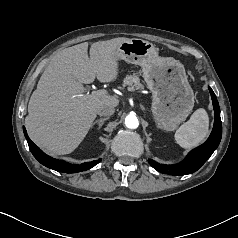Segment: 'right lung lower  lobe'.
I'll list each match as a JSON object with an SVG mask.
<instances>
[{"mask_svg": "<svg viewBox=\"0 0 238 238\" xmlns=\"http://www.w3.org/2000/svg\"><path fill=\"white\" fill-rule=\"evenodd\" d=\"M24 135L27 139L29 148L34 155V157L44 166L56 170L58 172H65V173H76L80 171H85L93 166H95L99 161H92L83 163L81 165L70 164L66 161L54 159L48 155H46L43 151L39 149L28 137L25 127H23Z\"/></svg>", "mask_w": 238, "mask_h": 238, "instance_id": "right-lung-lower-lobe-1", "label": "right lung lower lobe"}]
</instances>
